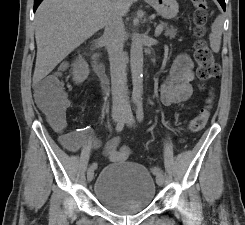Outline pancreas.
I'll return each instance as SVG.
<instances>
[{
    "instance_id": "pancreas-1",
    "label": "pancreas",
    "mask_w": 245,
    "mask_h": 225,
    "mask_svg": "<svg viewBox=\"0 0 245 225\" xmlns=\"http://www.w3.org/2000/svg\"><path fill=\"white\" fill-rule=\"evenodd\" d=\"M165 28V36H169L170 38H174L177 35V29L168 27L167 24H163Z\"/></svg>"
}]
</instances>
